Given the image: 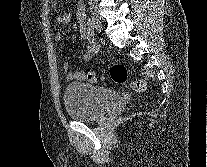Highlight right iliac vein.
Instances as JSON below:
<instances>
[{
  "instance_id": "obj_1",
  "label": "right iliac vein",
  "mask_w": 207,
  "mask_h": 167,
  "mask_svg": "<svg viewBox=\"0 0 207 167\" xmlns=\"http://www.w3.org/2000/svg\"><path fill=\"white\" fill-rule=\"evenodd\" d=\"M91 14H92L93 26L98 32H100L102 29V24H101V21L97 15V13H96V9H92Z\"/></svg>"
}]
</instances>
